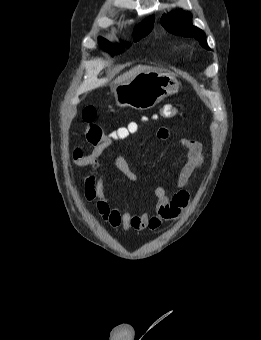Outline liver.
<instances>
[{"label": "liver", "mask_w": 261, "mask_h": 340, "mask_svg": "<svg viewBox=\"0 0 261 340\" xmlns=\"http://www.w3.org/2000/svg\"><path fill=\"white\" fill-rule=\"evenodd\" d=\"M150 70H155V69L150 67V66L138 65V66L132 68L131 70H129L128 72L123 73L122 75L118 76L114 80L113 84L117 85V84H120V83H124L126 81L133 79L139 73H142V72H145V71H150Z\"/></svg>", "instance_id": "liver-1"}]
</instances>
